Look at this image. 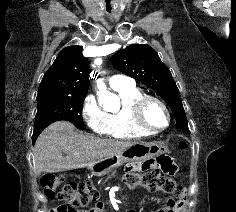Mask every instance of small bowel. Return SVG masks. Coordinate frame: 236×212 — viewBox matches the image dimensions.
<instances>
[{"label":"small bowel","mask_w":236,"mask_h":212,"mask_svg":"<svg viewBox=\"0 0 236 212\" xmlns=\"http://www.w3.org/2000/svg\"><path fill=\"white\" fill-rule=\"evenodd\" d=\"M98 204L100 205H92V209H85L84 212H111L110 209H104L103 204H107V199H98ZM183 208V203L180 201L177 202H169L167 206L160 210L161 212H180Z\"/></svg>","instance_id":"1"}]
</instances>
